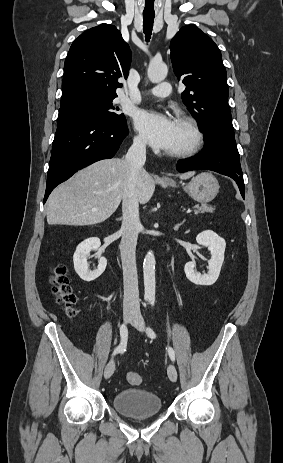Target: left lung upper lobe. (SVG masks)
I'll return each mask as SVG.
<instances>
[{"instance_id":"left-lung-upper-lobe-1","label":"left lung upper lobe","mask_w":283,"mask_h":463,"mask_svg":"<svg viewBox=\"0 0 283 463\" xmlns=\"http://www.w3.org/2000/svg\"><path fill=\"white\" fill-rule=\"evenodd\" d=\"M173 70L186 85L182 100L199 121L205 143L238 152L227 100L226 69L214 41L195 25L182 27L170 43Z\"/></svg>"}]
</instances>
